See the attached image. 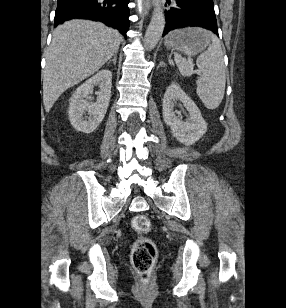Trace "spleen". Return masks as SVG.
<instances>
[{
    "mask_svg": "<svg viewBox=\"0 0 286 308\" xmlns=\"http://www.w3.org/2000/svg\"><path fill=\"white\" fill-rule=\"evenodd\" d=\"M210 39L211 45L196 60L200 72L196 82V93L207 109L214 110L223 100L226 75L221 42L212 33H210ZM174 61L181 75H188L189 61L177 53L174 54Z\"/></svg>",
    "mask_w": 286,
    "mask_h": 308,
    "instance_id": "1",
    "label": "spleen"
}]
</instances>
